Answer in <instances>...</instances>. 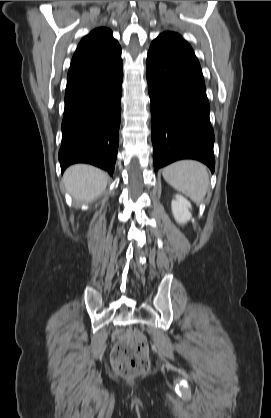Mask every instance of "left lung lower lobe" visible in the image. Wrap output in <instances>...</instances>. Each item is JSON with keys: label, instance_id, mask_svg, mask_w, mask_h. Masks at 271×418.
I'll use <instances>...</instances> for the list:
<instances>
[{"label": "left lung lower lobe", "instance_id": "0a47b994", "mask_svg": "<svg viewBox=\"0 0 271 418\" xmlns=\"http://www.w3.org/2000/svg\"><path fill=\"white\" fill-rule=\"evenodd\" d=\"M151 99L155 170L179 159L215 168L206 87L198 59L183 46L157 37L146 61Z\"/></svg>", "mask_w": 271, "mask_h": 418}]
</instances>
